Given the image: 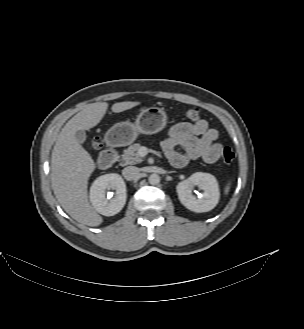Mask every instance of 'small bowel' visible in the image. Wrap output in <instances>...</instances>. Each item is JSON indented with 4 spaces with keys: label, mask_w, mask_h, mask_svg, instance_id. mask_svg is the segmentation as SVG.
Returning a JSON list of instances; mask_svg holds the SVG:
<instances>
[{
    "label": "small bowel",
    "mask_w": 304,
    "mask_h": 329,
    "mask_svg": "<svg viewBox=\"0 0 304 329\" xmlns=\"http://www.w3.org/2000/svg\"><path fill=\"white\" fill-rule=\"evenodd\" d=\"M217 138L218 131L210 128L204 119L193 123L180 122L169 129L162 148L170 164L176 168H182L196 159L215 163L223 150L222 145L216 142ZM177 147H182L184 151H177Z\"/></svg>",
    "instance_id": "obj_1"
}]
</instances>
